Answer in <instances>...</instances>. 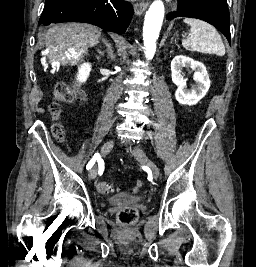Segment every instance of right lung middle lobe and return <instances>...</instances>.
<instances>
[{"label":"right lung middle lobe","mask_w":256,"mask_h":267,"mask_svg":"<svg viewBox=\"0 0 256 267\" xmlns=\"http://www.w3.org/2000/svg\"><path fill=\"white\" fill-rule=\"evenodd\" d=\"M49 1H51V0H46V3L49 2Z\"/></svg>","instance_id":"right-lung-middle-lobe-1"}]
</instances>
